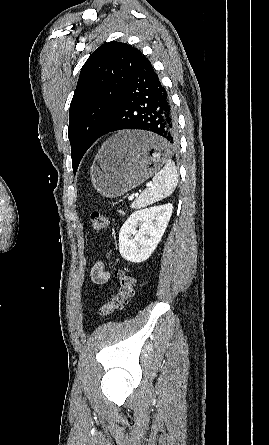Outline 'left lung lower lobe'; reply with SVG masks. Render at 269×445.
<instances>
[{"mask_svg":"<svg viewBox=\"0 0 269 445\" xmlns=\"http://www.w3.org/2000/svg\"><path fill=\"white\" fill-rule=\"evenodd\" d=\"M122 129L151 131L161 136L169 146L177 143V121L170 97L145 56L130 76L112 117L99 137Z\"/></svg>","mask_w":269,"mask_h":445,"instance_id":"1","label":"left lung lower lobe"}]
</instances>
